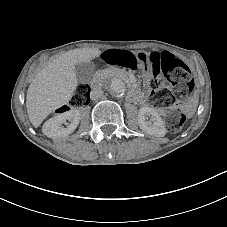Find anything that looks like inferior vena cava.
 Instances as JSON below:
<instances>
[{
	"mask_svg": "<svg viewBox=\"0 0 227 227\" xmlns=\"http://www.w3.org/2000/svg\"><path fill=\"white\" fill-rule=\"evenodd\" d=\"M102 96L103 91L99 87L92 89L90 92V99L93 101H98Z\"/></svg>",
	"mask_w": 227,
	"mask_h": 227,
	"instance_id": "inferior-vena-cava-1",
	"label": "inferior vena cava"
}]
</instances>
